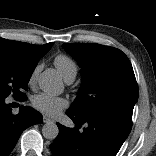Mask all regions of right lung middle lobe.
Instances as JSON below:
<instances>
[{
    "mask_svg": "<svg viewBox=\"0 0 156 156\" xmlns=\"http://www.w3.org/2000/svg\"><path fill=\"white\" fill-rule=\"evenodd\" d=\"M35 67L15 55L0 51V95L8 97L13 94L17 99H25L21 91L27 89Z\"/></svg>",
    "mask_w": 156,
    "mask_h": 156,
    "instance_id": "1",
    "label": "right lung middle lobe"
}]
</instances>
